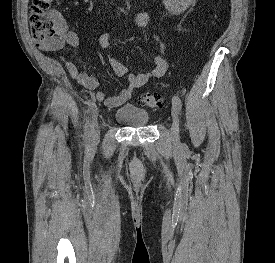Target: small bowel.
<instances>
[{
    "label": "small bowel",
    "mask_w": 275,
    "mask_h": 263,
    "mask_svg": "<svg viewBox=\"0 0 275 263\" xmlns=\"http://www.w3.org/2000/svg\"><path fill=\"white\" fill-rule=\"evenodd\" d=\"M56 19L58 32L57 36L48 43L41 44L40 47L47 51L63 50L67 47H75L79 44L76 33L67 29L62 17L59 14H53ZM133 23L140 27L146 28L150 25L151 16L145 12H134L131 15ZM98 44L102 49H106L111 44V35L103 33L98 38ZM64 66L68 70L70 76L85 90L91 93L94 100L103 102L106 107L117 108L125 104L132 96L133 92L152 79H159L164 76L168 68V62L163 56H155L152 58L150 66L147 70L139 74L131 73L128 68L114 56L109 55V62L112 71L117 78H125L128 86L122 89L116 95H109L107 92H96L100 83L99 80L84 71H81L71 61L61 58Z\"/></svg>",
    "instance_id": "small-bowel-1"
}]
</instances>
